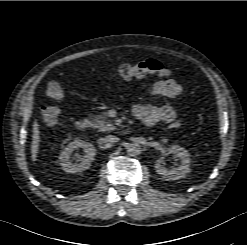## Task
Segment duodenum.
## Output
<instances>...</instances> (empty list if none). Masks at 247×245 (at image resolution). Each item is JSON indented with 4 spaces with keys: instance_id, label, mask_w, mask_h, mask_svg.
<instances>
[{
    "instance_id": "obj_1",
    "label": "duodenum",
    "mask_w": 247,
    "mask_h": 245,
    "mask_svg": "<svg viewBox=\"0 0 247 245\" xmlns=\"http://www.w3.org/2000/svg\"><path fill=\"white\" fill-rule=\"evenodd\" d=\"M76 126L80 130H86L90 127V121L87 118H80L76 122ZM129 128H127L128 130Z\"/></svg>"
}]
</instances>
